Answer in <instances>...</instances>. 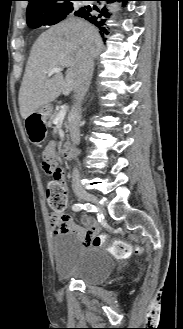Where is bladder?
<instances>
[{"mask_svg":"<svg viewBox=\"0 0 183 329\" xmlns=\"http://www.w3.org/2000/svg\"><path fill=\"white\" fill-rule=\"evenodd\" d=\"M58 275L89 285L104 283L113 271L108 252L99 246H84L72 232H61L52 240Z\"/></svg>","mask_w":183,"mask_h":329,"instance_id":"1","label":"bladder"}]
</instances>
